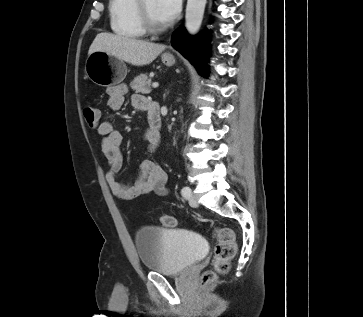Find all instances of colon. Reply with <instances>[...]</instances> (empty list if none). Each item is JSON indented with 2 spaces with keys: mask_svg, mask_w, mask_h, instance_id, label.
Segmentation results:
<instances>
[{
  "mask_svg": "<svg viewBox=\"0 0 363 317\" xmlns=\"http://www.w3.org/2000/svg\"><path fill=\"white\" fill-rule=\"evenodd\" d=\"M83 116L90 128H97L100 124L99 109L93 105H85ZM161 222L166 227H175L176 219L170 215H162ZM216 245L213 255V269L203 273L201 284L206 287L217 280L219 274L226 273L237 251L235 235L228 227H218L214 233Z\"/></svg>",
  "mask_w": 363,
  "mask_h": 317,
  "instance_id": "1",
  "label": "colon"
}]
</instances>
